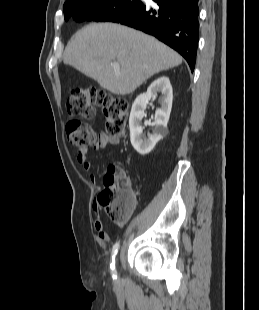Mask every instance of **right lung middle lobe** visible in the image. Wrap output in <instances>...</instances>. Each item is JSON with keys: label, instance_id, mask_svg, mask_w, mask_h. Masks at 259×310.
Here are the masks:
<instances>
[{"label": "right lung middle lobe", "instance_id": "right-lung-middle-lobe-1", "mask_svg": "<svg viewBox=\"0 0 259 310\" xmlns=\"http://www.w3.org/2000/svg\"><path fill=\"white\" fill-rule=\"evenodd\" d=\"M139 0H101L89 4H73L63 6L65 20L71 16L81 21L120 22L131 12L140 8Z\"/></svg>", "mask_w": 259, "mask_h": 310}]
</instances>
